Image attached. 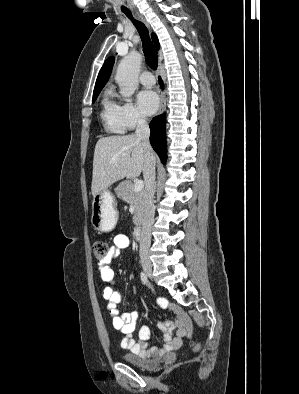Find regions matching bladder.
<instances>
[{
	"mask_svg": "<svg viewBox=\"0 0 299 394\" xmlns=\"http://www.w3.org/2000/svg\"><path fill=\"white\" fill-rule=\"evenodd\" d=\"M123 359L125 362H127L129 365L138 368V369H154L159 366L161 361L159 359H148L144 358L140 355L127 352L123 354Z\"/></svg>",
	"mask_w": 299,
	"mask_h": 394,
	"instance_id": "31cf9c89",
	"label": "bladder"
}]
</instances>
